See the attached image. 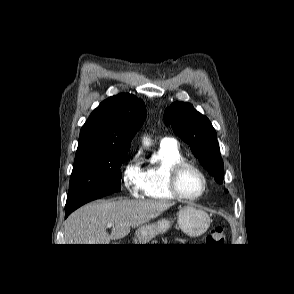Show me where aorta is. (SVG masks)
Wrapping results in <instances>:
<instances>
[{"label":"aorta","mask_w":294,"mask_h":294,"mask_svg":"<svg viewBox=\"0 0 294 294\" xmlns=\"http://www.w3.org/2000/svg\"><path fill=\"white\" fill-rule=\"evenodd\" d=\"M143 144H144V146H149L150 145V139L144 138L143 139Z\"/></svg>","instance_id":"762f6f07"}]
</instances>
